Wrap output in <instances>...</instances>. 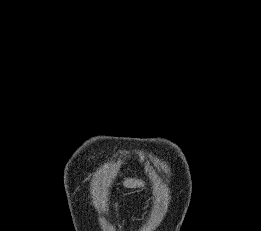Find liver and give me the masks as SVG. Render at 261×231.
<instances>
[{
  "instance_id": "liver-1",
  "label": "liver",
  "mask_w": 261,
  "mask_h": 231,
  "mask_svg": "<svg viewBox=\"0 0 261 231\" xmlns=\"http://www.w3.org/2000/svg\"><path fill=\"white\" fill-rule=\"evenodd\" d=\"M124 186L127 188H136L144 186V183L141 180L126 179L124 181Z\"/></svg>"
}]
</instances>
